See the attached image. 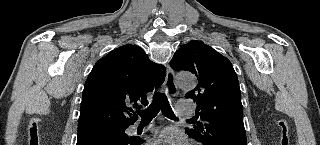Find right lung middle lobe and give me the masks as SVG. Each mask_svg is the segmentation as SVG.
Returning a JSON list of instances; mask_svg holds the SVG:
<instances>
[{
    "label": "right lung middle lobe",
    "mask_w": 320,
    "mask_h": 145,
    "mask_svg": "<svg viewBox=\"0 0 320 145\" xmlns=\"http://www.w3.org/2000/svg\"><path fill=\"white\" fill-rule=\"evenodd\" d=\"M125 127H121V128H105V130H109V131H113L115 133H118V134H122V135H126L125 134Z\"/></svg>",
    "instance_id": "1"
}]
</instances>
